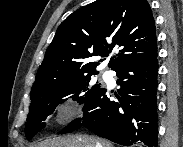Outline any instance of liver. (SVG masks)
<instances>
[{"mask_svg":"<svg viewBox=\"0 0 183 147\" xmlns=\"http://www.w3.org/2000/svg\"><path fill=\"white\" fill-rule=\"evenodd\" d=\"M34 147H112V144L91 136L73 135L46 139L35 144Z\"/></svg>","mask_w":183,"mask_h":147,"instance_id":"obj_1","label":"liver"}]
</instances>
